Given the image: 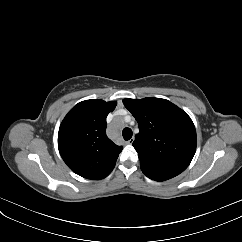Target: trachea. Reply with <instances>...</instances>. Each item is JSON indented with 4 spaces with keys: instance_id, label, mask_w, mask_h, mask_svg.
Wrapping results in <instances>:
<instances>
[{
    "instance_id": "trachea-1",
    "label": "trachea",
    "mask_w": 242,
    "mask_h": 242,
    "mask_svg": "<svg viewBox=\"0 0 242 242\" xmlns=\"http://www.w3.org/2000/svg\"><path fill=\"white\" fill-rule=\"evenodd\" d=\"M122 135L125 140H130L132 137V130L130 128H124Z\"/></svg>"
}]
</instances>
